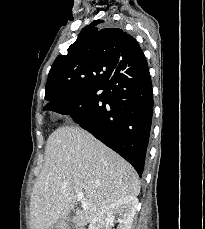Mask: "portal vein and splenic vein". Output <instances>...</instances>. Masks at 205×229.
<instances>
[{
  "instance_id": "1",
  "label": "portal vein and splenic vein",
  "mask_w": 205,
  "mask_h": 229,
  "mask_svg": "<svg viewBox=\"0 0 205 229\" xmlns=\"http://www.w3.org/2000/svg\"><path fill=\"white\" fill-rule=\"evenodd\" d=\"M76 196H77V199L79 201L83 202V200H84V193L83 192H77Z\"/></svg>"
}]
</instances>
